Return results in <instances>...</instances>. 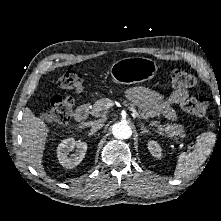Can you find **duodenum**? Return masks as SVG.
<instances>
[{
    "label": "duodenum",
    "instance_id": "1",
    "mask_svg": "<svg viewBox=\"0 0 221 221\" xmlns=\"http://www.w3.org/2000/svg\"><path fill=\"white\" fill-rule=\"evenodd\" d=\"M90 115V105L85 103L80 105L74 114V118L77 122H82L88 118Z\"/></svg>",
    "mask_w": 221,
    "mask_h": 221
}]
</instances>
